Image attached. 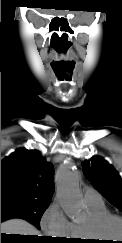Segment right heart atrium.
<instances>
[{
  "label": "right heart atrium",
  "mask_w": 122,
  "mask_h": 243,
  "mask_svg": "<svg viewBox=\"0 0 122 243\" xmlns=\"http://www.w3.org/2000/svg\"><path fill=\"white\" fill-rule=\"evenodd\" d=\"M41 228L49 236L68 238L71 236L72 223L67 218L59 202H53L41 219Z\"/></svg>",
  "instance_id": "right-heart-atrium-1"
}]
</instances>
